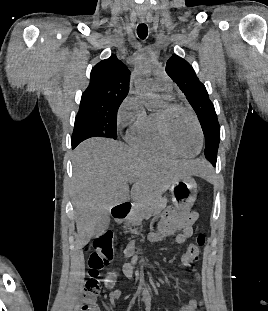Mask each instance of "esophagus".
<instances>
[{"label": "esophagus", "mask_w": 268, "mask_h": 311, "mask_svg": "<svg viewBox=\"0 0 268 311\" xmlns=\"http://www.w3.org/2000/svg\"><path fill=\"white\" fill-rule=\"evenodd\" d=\"M145 19H146V17H145L144 15H140V16H139V20H140L141 22H144Z\"/></svg>", "instance_id": "esophagus-1"}]
</instances>
